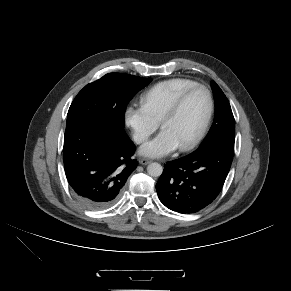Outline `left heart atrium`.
Masks as SVG:
<instances>
[{"instance_id":"left-heart-atrium-1","label":"left heart atrium","mask_w":291,"mask_h":291,"mask_svg":"<svg viewBox=\"0 0 291 291\" xmlns=\"http://www.w3.org/2000/svg\"><path fill=\"white\" fill-rule=\"evenodd\" d=\"M176 139L167 130H162L155 138L140 148V153L148 157H162L178 148Z\"/></svg>"}]
</instances>
